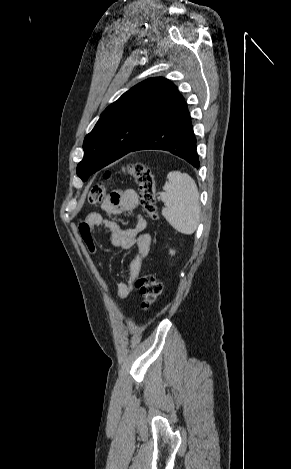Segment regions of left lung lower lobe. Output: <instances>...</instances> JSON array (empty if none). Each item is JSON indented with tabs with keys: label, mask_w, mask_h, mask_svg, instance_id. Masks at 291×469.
<instances>
[{
	"label": "left lung lower lobe",
	"mask_w": 291,
	"mask_h": 469,
	"mask_svg": "<svg viewBox=\"0 0 291 469\" xmlns=\"http://www.w3.org/2000/svg\"><path fill=\"white\" fill-rule=\"evenodd\" d=\"M144 149L169 151L186 160L195 168H199L196 138L185 100L161 124L145 135L124 155Z\"/></svg>",
	"instance_id": "obj_1"
}]
</instances>
